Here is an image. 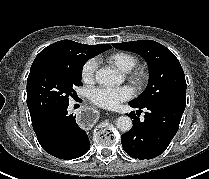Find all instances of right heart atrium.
Instances as JSON below:
<instances>
[{"instance_id":"d8ad5b80","label":"right heart atrium","mask_w":209,"mask_h":179,"mask_svg":"<svg viewBox=\"0 0 209 179\" xmlns=\"http://www.w3.org/2000/svg\"><path fill=\"white\" fill-rule=\"evenodd\" d=\"M98 64L95 59L87 60L81 69V79L86 84L93 83Z\"/></svg>"}]
</instances>
